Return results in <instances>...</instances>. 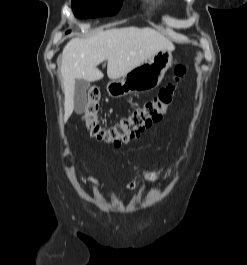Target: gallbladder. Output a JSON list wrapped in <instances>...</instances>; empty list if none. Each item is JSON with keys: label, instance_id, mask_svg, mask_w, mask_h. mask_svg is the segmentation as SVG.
<instances>
[{"label": "gallbladder", "instance_id": "bac80fb5", "mask_svg": "<svg viewBox=\"0 0 247 265\" xmlns=\"http://www.w3.org/2000/svg\"><path fill=\"white\" fill-rule=\"evenodd\" d=\"M90 87V82L78 79L75 83L74 110L77 114H82L86 105V92Z\"/></svg>", "mask_w": 247, "mask_h": 265}]
</instances>
